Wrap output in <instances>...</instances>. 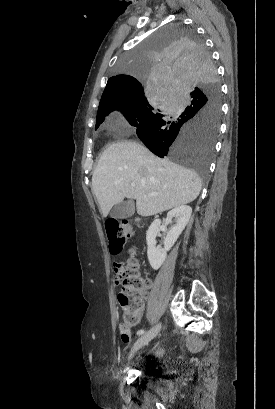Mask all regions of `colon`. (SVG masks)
Wrapping results in <instances>:
<instances>
[{
    "instance_id": "5ec220e1",
    "label": "colon",
    "mask_w": 275,
    "mask_h": 409,
    "mask_svg": "<svg viewBox=\"0 0 275 409\" xmlns=\"http://www.w3.org/2000/svg\"><path fill=\"white\" fill-rule=\"evenodd\" d=\"M105 233L112 253L121 252L130 237V227L123 221L110 219L105 225ZM139 260L130 258L122 266L115 262L113 273L121 275L122 291L118 294V301L123 310V318L118 325H135L141 313L144 300L142 290L151 286V282L139 274Z\"/></svg>"
}]
</instances>
